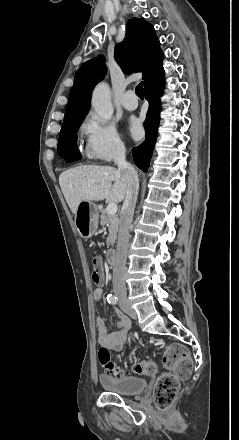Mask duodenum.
<instances>
[{
  "instance_id": "1",
  "label": "duodenum",
  "mask_w": 239,
  "mask_h": 440,
  "mask_svg": "<svg viewBox=\"0 0 239 440\" xmlns=\"http://www.w3.org/2000/svg\"><path fill=\"white\" fill-rule=\"evenodd\" d=\"M107 262L109 265L113 266L116 263V251L113 249L108 250L106 254Z\"/></svg>"
}]
</instances>
